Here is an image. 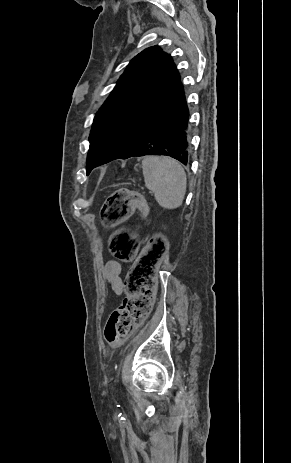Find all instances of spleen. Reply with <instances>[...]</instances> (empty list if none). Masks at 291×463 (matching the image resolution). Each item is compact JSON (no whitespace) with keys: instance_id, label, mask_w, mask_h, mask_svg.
<instances>
[{"instance_id":"3e777b00","label":"spleen","mask_w":291,"mask_h":463,"mask_svg":"<svg viewBox=\"0 0 291 463\" xmlns=\"http://www.w3.org/2000/svg\"><path fill=\"white\" fill-rule=\"evenodd\" d=\"M145 186L154 193L158 204L165 209H176L186 192L183 167L169 157L149 156L142 161Z\"/></svg>"}]
</instances>
